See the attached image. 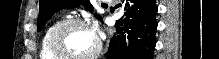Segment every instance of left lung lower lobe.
<instances>
[{"label":"left lung lower lobe","instance_id":"1","mask_svg":"<svg viewBox=\"0 0 219 59\" xmlns=\"http://www.w3.org/2000/svg\"><path fill=\"white\" fill-rule=\"evenodd\" d=\"M124 6L126 18L121 25L116 23L117 32L110 40L106 59H153L158 11L155 0H126Z\"/></svg>","mask_w":219,"mask_h":59}]
</instances>
